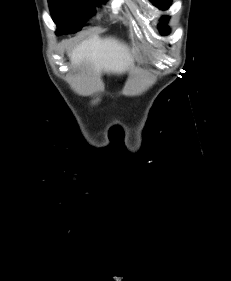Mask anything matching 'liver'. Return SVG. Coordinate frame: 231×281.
Returning <instances> with one entry per match:
<instances>
[{
	"label": "liver",
	"mask_w": 231,
	"mask_h": 281,
	"mask_svg": "<svg viewBox=\"0 0 231 281\" xmlns=\"http://www.w3.org/2000/svg\"><path fill=\"white\" fill-rule=\"evenodd\" d=\"M72 65L91 63L97 72L124 73L133 65L134 57L128 47L113 38L93 36L75 47L71 54Z\"/></svg>",
	"instance_id": "6515ba94"
}]
</instances>
